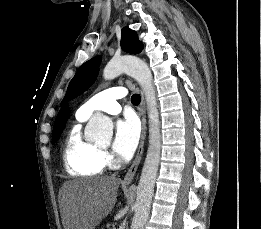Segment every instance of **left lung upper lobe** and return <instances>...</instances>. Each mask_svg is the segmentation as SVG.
<instances>
[{
    "instance_id": "obj_1",
    "label": "left lung upper lobe",
    "mask_w": 261,
    "mask_h": 229,
    "mask_svg": "<svg viewBox=\"0 0 261 229\" xmlns=\"http://www.w3.org/2000/svg\"><path fill=\"white\" fill-rule=\"evenodd\" d=\"M121 47L128 53L137 54L141 52L143 44L135 31L125 27L122 29ZM100 62L101 57L97 56L81 65L70 81L61 105L81 95L94 83L98 76Z\"/></svg>"
}]
</instances>
